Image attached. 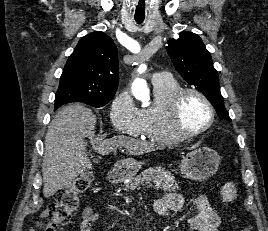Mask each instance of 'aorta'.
I'll return each mask as SVG.
<instances>
[{
  "instance_id": "1",
  "label": "aorta",
  "mask_w": 268,
  "mask_h": 231,
  "mask_svg": "<svg viewBox=\"0 0 268 231\" xmlns=\"http://www.w3.org/2000/svg\"><path fill=\"white\" fill-rule=\"evenodd\" d=\"M132 93L137 99L141 100L145 105H148L149 89L144 79L138 78L133 82Z\"/></svg>"
}]
</instances>
